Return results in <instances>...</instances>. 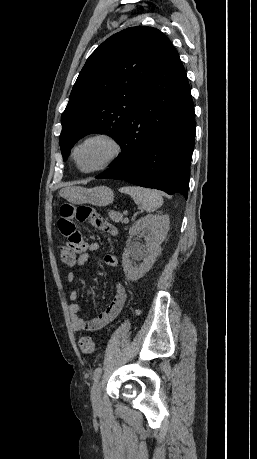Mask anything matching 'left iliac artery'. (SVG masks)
Wrapping results in <instances>:
<instances>
[{
    "mask_svg": "<svg viewBox=\"0 0 257 459\" xmlns=\"http://www.w3.org/2000/svg\"><path fill=\"white\" fill-rule=\"evenodd\" d=\"M102 374V368L101 367H97L95 370H94V373H93V379L94 381H97L100 376Z\"/></svg>",
    "mask_w": 257,
    "mask_h": 459,
    "instance_id": "1",
    "label": "left iliac artery"
}]
</instances>
